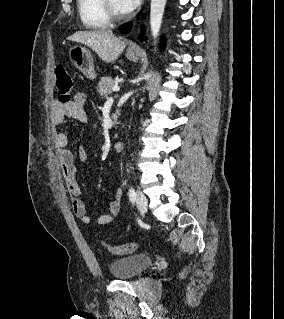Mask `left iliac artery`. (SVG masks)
Instances as JSON below:
<instances>
[{"label": "left iliac artery", "instance_id": "left-iliac-artery-1", "mask_svg": "<svg viewBox=\"0 0 284 319\" xmlns=\"http://www.w3.org/2000/svg\"><path fill=\"white\" fill-rule=\"evenodd\" d=\"M127 170H128V169H127ZM128 196H129V199H130V201H131L132 203L135 202L137 195H136V192H135V190H134L133 187H130V188H129Z\"/></svg>", "mask_w": 284, "mask_h": 319}]
</instances>
